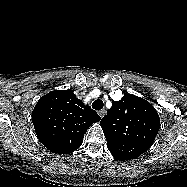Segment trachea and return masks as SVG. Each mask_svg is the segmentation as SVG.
<instances>
[{"instance_id": "1", "label": "trachea", "mask_w": 187, "mask_h": 187, "mask_svg": "<svg viewBox=\"0 0 187 187\" xmlns=\"http://www.w3.org/2000/svg\"><path fill=\"white\" fill-rule=\"evenodd\" d=\"M104 106V103L102 100L100 99H97L95 100L93 103H92V108L95 109V110H100L102 109Z\"/></svg>"}]
</instances>
